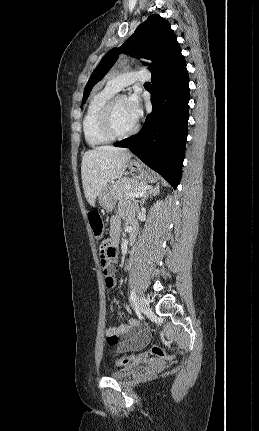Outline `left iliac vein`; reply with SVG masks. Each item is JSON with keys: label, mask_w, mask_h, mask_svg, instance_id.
<instances>
[{"label": "left iliac vein", "mask_w": 259, "mask_h": 431, "mask_svg": "<svg viewBox=\"0 0 259 431\" xmlns=\"http://www.w3.org/2000/svg\"><path fill=\"white\" fill-rule=\"evenodd\" d=\"M137 306L140 312H144L149 308V302L144 296H140L137 301Z\"/></svg>", "instance_id": "left-iliac-vein-1"}]
</instances>
